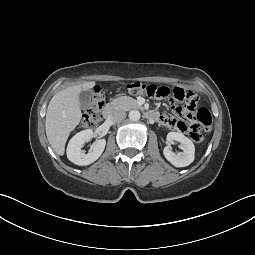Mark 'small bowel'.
<instances>
[{
	"label": "small bowel",
	"mask_w": 255,
	"mask_h": 255,
	"mask_svg": "<svg viewBox=\"0 0 255 255\" xmlns=\"http://www.w3.org/2000/svg\"><path fill=\"white\" fill-rule=\"evenodd\" d=\"M177 114V113H176ZM180 115V114H178ZM180 119L172 118L164 114H158V121L165 127L182 133L188 132L191 128L196 127L188 118L180 115Z\"/></svg>",
	"instance_id": "c3829d8e"
}]
</instances>
